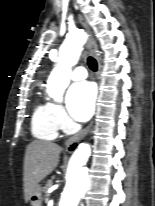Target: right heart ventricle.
<instances>
[{"label":"right heart ventricle","instance_id":"right-heart-ventricle-1","mask_svg":"<svg viewBox=\"0 0 155 206\" xmlns=\"http://www.w3.org/2000/svg\"><path fill=\"white\" fill-rule=\"evenodd\" d=\"M32 133L40 140H54L58 135L49 110V103H40L32 115Z\"/></svg>","mask_w":155,"mask_h":206}]
</instances>
